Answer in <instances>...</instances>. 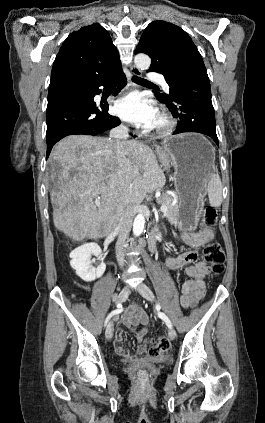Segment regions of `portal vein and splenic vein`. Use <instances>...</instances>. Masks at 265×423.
Instances as JSON below:
<instances>
[{"label": "portal vein and splenic vein", "mask_w": 265, "mask_h": 423, "mask_svg": "<svg viewBox=\"0 0 265 423\" xmlns=\"http://www.w3.org/2000/svg\"><path fill=\"white\" fill-rule=\"evenodd\" d=\"M94 203H95V205L99 206L101 204L100 198L95 199ZM160 210H161V212L163 214H166V212H167V206L166 205H162L161 208H160Z\"/></svg>", "instance_id": "portal-vein-and-splenic-vein-1"}]
</instances>
